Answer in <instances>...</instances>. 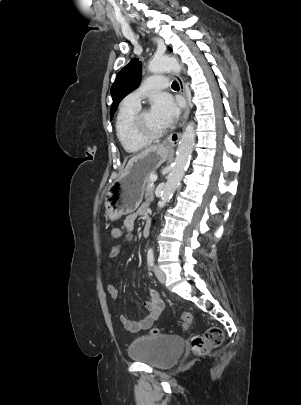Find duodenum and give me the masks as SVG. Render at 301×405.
I'll use <instances>...</instances> for the list:
<instances>
[{
    "instance_id": "obj_1",
    "label": "duodenum",
    "mask_w": 301,
    "mask_h": 405,
    "mask_svg": "<svg viewBox=\"0 0 301 405\" xmlns=\"http://www.w3.org/2000/svg\"><path fill=\"white\" fill-rule=\"evenodd\" d=\"M150 232H151V222L147 220L143 229V235L146 237L150 234Z\"/></svg>"
}]
</instances>
